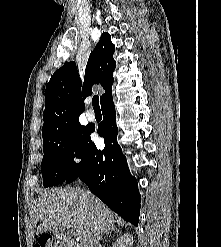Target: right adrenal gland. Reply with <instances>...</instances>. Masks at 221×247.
Listing matches in <instances>:
<instances>
[{"instance_id": "obj_1", "label": "right adrenal gland", "mask_w": 221, "mask_h": 247, "mask_svg": "<svg viewBox=\"0 0 221 247\" xmlns=\"http://www.w3.org/2000/svg\"><path fill=\"white\" fill-rule=\"evenodd\" d=\"M112 232H118V230L115 229V227H112L111 229L106 230L105 234L107 236L109 233L111 234ZM100 238H102V236H100Z\"/></svg>"}]
</instances>
